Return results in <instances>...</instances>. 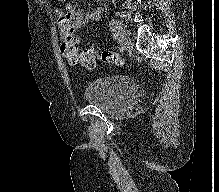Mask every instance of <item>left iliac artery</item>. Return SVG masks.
<instances>
[{"instance_id":"1","label":"left iliac artery","mask_w":219,"mask_h":192,"mask_svg":"<svg viewBox=\"0 0 219 192\" xmlns=\"http://www.w3.org/2000/svg\"><path fill=\"white\" fill-rule=\"evenodd\" d=\"M113 31H114V33H113V38H114L115 41L118 42V41H119V37H118V35H117V33H116V29H114Z\"/></svg>"}]
</instances>
